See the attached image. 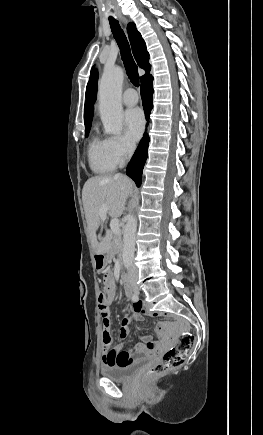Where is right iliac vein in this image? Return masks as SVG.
Returning <instances> with one entry per match:
<instances>
[{"instance_id": "obj_1", "label": "right iliac vein", "mask_w": 263, "mask_h": 435, "mask_svg": "<svg viewBox=\"0 0 263 435\" xmlns=\"http://www.w3.org/2000/svg\"><path fill=\"white\" fill-rule=\"evenodd\" d=\"M134 291L136 292V291H137V289H136V288H134Z\"/></svg>"}]
</instances>
